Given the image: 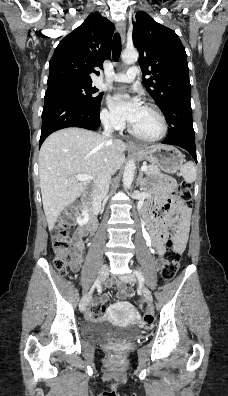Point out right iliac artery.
<instances>
[{
    "mask_svg": "<svg viewBox=\"0 0 228 396\" xmlns=\"http://www.w3.org/2000/svg\"><path fill=\"white\" fill-rule=\"evenodd\" d=\"M99 284H100V281H99V280H96L95 283L93 284V286H92L90 292H92V291L94 290L95 287H98Z\"/></svg>",
    "mask_w": 228,
    "mask_h": 396,
    "instance_id": "obj_1",
    "label": "right iliac artery"
}]
</instances>
